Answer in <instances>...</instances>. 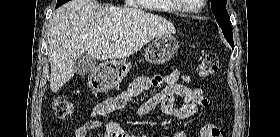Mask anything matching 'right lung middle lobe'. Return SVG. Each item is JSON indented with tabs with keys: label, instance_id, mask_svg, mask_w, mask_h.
Returning <instances> with one entry per match:
<instances>
[{
	"label": "right lung middle lobe",
	"instance_id": "right-lung-middle-lobe-1",
	"mask_svg": "<svg viewBox=\"0 0 280 137\" xmlns=\"http://www.w3.org/2000/svg\"><path fill=\"white\" fill-rule=\"evenodd\" d=\"M67 1L69 0H57V5H56V8L61 6L62 4L66 3Z\"/></svg>",
	"mask_w": 280,
	"mask_h": 137
}]
</instances>
